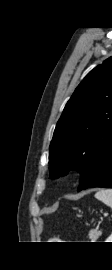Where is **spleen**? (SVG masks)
I'll list each match as a JSON object with an SVG mask.
<instances>
[{"instance_id":"obj_1","label":"spleen","mask_w":112,"mask_h":270,"mask_svg":"<svg viewBox=\"0 0 112 270\" xmlns=\"http://www.w3.org/2000/svg\"><path fill=\"white\" fill-rule=\"evenodd\" d=\"M95 198L112 209V189H102L95 194Z\"/></svg>"}]
</instances>
